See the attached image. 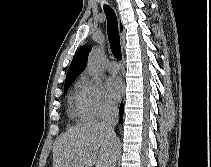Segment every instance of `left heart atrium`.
I'll return each mask as SVG.
<instances>
[{
	"label": "left heart atrium",
	"instance_id": "left-heart-atrium-1",
	"mask_svg": "<svg viewBox=\"0 0 211 167\" xmlns=\"http://www.w3.org/2000/svg\"><path fill=\"white\" fill-rule=\"evenodd\" d=\"M105 91L112 101H117L124 91V85L120 78L110 77L105 82Z\"/></svg>",
	"mask_w": 211,
	"mask_h": 167
}]
</instances>
